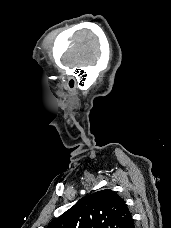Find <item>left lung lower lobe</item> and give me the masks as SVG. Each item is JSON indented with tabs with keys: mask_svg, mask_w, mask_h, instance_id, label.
Instances as JSON below:
<instances>
[{
	"mask_svg": "<svg viewBox=\"0 0 171 228\" xmlns=\"http://www.w3.org/2000/svg\"><path fill=\"white\" fill-rule=\"evenodd\" d=\"M123 228H135L134 220L132 219V216L127 220Z\"/></svg>",
	"mask_w": 171,
	"mask_h": 228,
	"instance_id": "1",
	"label": "left lung lower lobe"
}]
</instances>
